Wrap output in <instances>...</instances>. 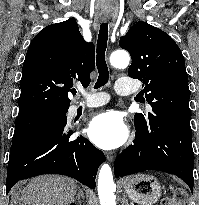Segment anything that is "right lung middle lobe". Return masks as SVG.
<instances>
[{"mask_svg": "<svg viewBox=\"0 0 199 205\" xmlns=\"http://www.w3.org/2000/svg\"><path fill=\"white\" fill-rule=\"evenodd\" d=\"M68 108L50 109L18 115L12 142L20 140L40 129L57 127L67 122Z\"/></svg>", "mask_w": 199, "mask_h": 205, "instance_id": "1", "label": "right lung middle lobe"}]
</instances>
